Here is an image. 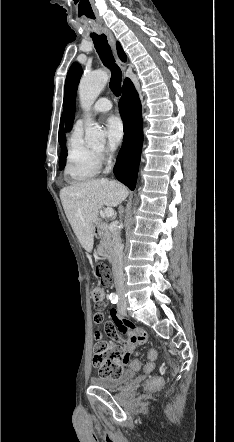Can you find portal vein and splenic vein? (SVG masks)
<instances>
[{
  "label": "portal vein and splenic vein",
  "mask_w": 234,
  "mask_h": 442,
  "mask_svg": "<svg viewBox=\"0 0 234 442\" xmlns=\"http://www.w3.org/2000/svg\"><path fill=\"white\" fill-rule=\"evenodd\" d=\"M104 215H105L107 218H110V217H112V216L114 215V210H113L112 208H106V209L104 210Z\"/></svg>",
  "instance_id": "18ae733b"
}]
</instances>
